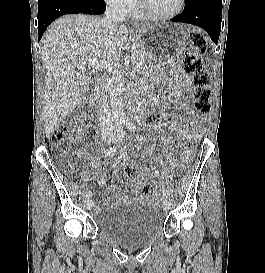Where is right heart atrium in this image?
Wrapping results in <instances>:
<instances>
[{
    "label": "right heart atrium",
    "mask_w": 265,
    "mask_h": 273,
    "mask_svg": "<svg viewBox=\"0 0 265 273\" xmlns=\"http://www.w3.org/2000/svg\"><path fill=\"white\" fill-rule=\"evenodd\" d=\"M105 3L121 13H129L136 7L138 0H105Z\"/></svg>",
    "instance_id": "d8ad5b80"
}]
</instances>
